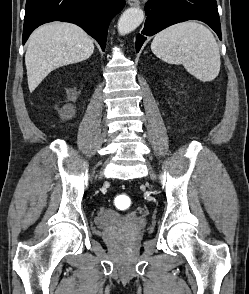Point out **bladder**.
Here are the masks:
<instances>
[{"label":"bladder","instance_id":"1","mask_svg":"<svg viewBox=\"0 0 249 294\" xmlns=\"http://www.w3.org/2000/svg\"><path fill=\"white\" fill-rule=\"evenodd\" d=\"M123 218H116V217H113V216H108L104 219H99V222L100 223H104L106 222L107 225L105 226L106 229H111L113 227V225L116 223V222H119V221H122Z\"/></svg>","mask_w":249,"mask_h":294}]
</instances>
